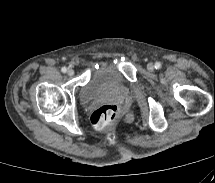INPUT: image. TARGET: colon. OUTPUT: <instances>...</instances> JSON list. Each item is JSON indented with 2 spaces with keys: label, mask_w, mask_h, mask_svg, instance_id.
<instances>
[{
  "label": "colon",
  "mask_w": 215,
  "mask_h": 183,
  "mask_svg": "<svg viewBox=\"0 0 215 183\" xmlns=\"http://www.w3.org/2000/svg\"><path fill=\"white\" fill-rule=\"evenodd\" d=\"M119 115V109L115 104H106L96 111L91 116V122L97 129H102L113 123Z\"/></svg>",
  "instance_id": "5ec220e1"
}]
</instances>
